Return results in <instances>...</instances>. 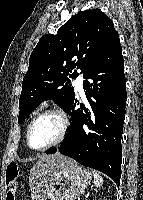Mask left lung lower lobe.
Here are the masks:
<instances>
[{
  "label": "left lung lower lobe",
  "instance_id": "0a47b994",
  "mask_svg": "<svg viewBox=\"0 0 143 200\" xmlns=\"http://www.w3.org/2000/svg\"><path fill=\"white\" fill-rule=\"evenodd\" d=\"M88 107L75 97L70 106L71 127L64 141L46 153L67 155L78 163L94 168L120 184L123 123L126 107V79L119 36L83 74Z\"/></svg>",
  "mask_w": 143,
  "mask_h": 200
}]
</instances>
